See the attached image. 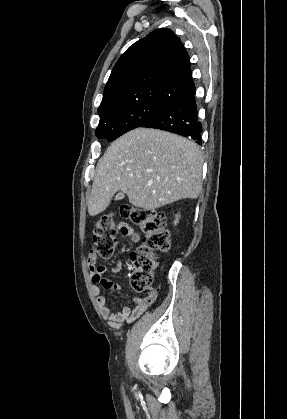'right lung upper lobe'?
<instances>
[{
    "mask_svg": "<svg viewBox=\"0 0 287 419\" xmlns=\"http://www.w3.org/2000/svg\"><path fill=\"white\" fill-rule=\"evenodd\" d=\"M189 56L174 33L157 29L134 43L115 64L98 113L136 102L169 101L195 90Z\"/></svg>",
    "mask_w": 287,
    "mask_h": 419,
    "instance_id": "1",
    "label": "right lung upper lobe"
}]
</instances>
